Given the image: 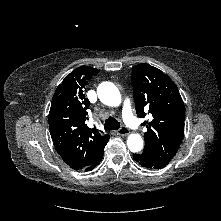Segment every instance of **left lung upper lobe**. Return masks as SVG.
<instances>
[{
  "label": "left lung upper lobe",
  "instance_id": "1",
  "mask_svg": "<svg viewBox=\"0 0 221 221\" xmlns=\"http://www.w3.org/2000/svg\"><path fill=\"white\" fill-rule=\"evenodd\" d=\"M131 79L138 117H145L144 110L152 115L142 124L147 127L143 153L167 165L184 137L185 106L179 90L168 75L148 64L134 66Z\"/></svg>",
  "mask_w": 221,
  "mask_h": 221
}]
</instances>
